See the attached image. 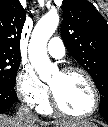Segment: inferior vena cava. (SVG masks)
Listing matches in <instances>:
<instances>
[{
    "label": "inferior vena cava",
    "instance_id": "obj_1",
    "mask_svg": "<svg viewBox=\"0 0 108 127\" xmlns=\"http://www.w3.org/2000/svg\"><path fill=\"white\" fill-rule=\"evenodd\" d=\"M19 114H20V115H23V114H30V112H29V109H28V108H25V109H24V108H23V109L21 108ZM31 115H32V114H31ZM32 116H33V118H35V119L38 118V117L35 116V115H32Z\"/></svg>",
    "mask_w": 108,
    "mask_h": 127
}]
</instances>
